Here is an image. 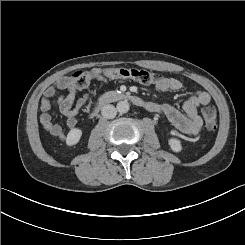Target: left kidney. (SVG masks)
I'll return each instance as SVG.
<instances>
[{"label":"left kidney","instance_id":"left-kidney-1","mask_svg":"<svg viewBox=\"0 0 245 245\" xmlns=\"http://www.w3.org/2000/svg\"><path fill=\"white\" fill-rule=\"evenodd\" d=\"M168 146L174 153H180L183 150L182 141L177 137H169L167 140Z\"/></svg>","mask_w":245,"mask_h":245}]
</instances>
